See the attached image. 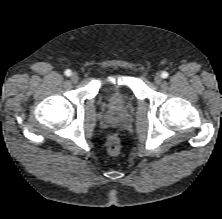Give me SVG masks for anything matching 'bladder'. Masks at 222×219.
Returning a JSON list of instances; mask_svg holds the SVG:
<instances>
[{
    "label": "bladder",
    "mask_w": 222,
    "mask_h": 219,
    "mask_svg": "<svg viewBox=\"0 0 222 219\" xmlns=\"http://www.w3.org/2000/svg\"><path fill=\"white\" fill-rule=\"evenodd\" d=\"M105 98L108 104L114 108L120 107L124 102L122 90L112 85L105 87Z\"/></svg>",
    "instance_id": "31cf9c89"
}]
</instances>
